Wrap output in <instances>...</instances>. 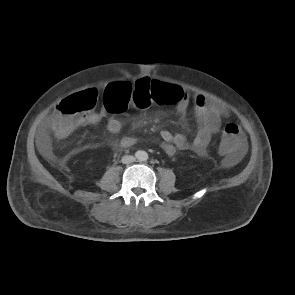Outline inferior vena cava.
Returning <instances> with one entry per match:
<instances>
[{
	"label": "inferior vena cava",
	"mask_w": 295,
	"mask_h": 295,
	"mask_svg": "<svg viewBox=\"0 0 295 295\" xmlns=\"http://www.w3.org/2000/svg\"><path fill=\"white\" fill-rule=\"evenodd\" d=\"M122 163L123 164H130L133 163L135 161V157L131 156V155H126L122 157Z\"/></svg>",
	"instance_id": "inferior-vena-cava-1"
}]
</instances>
